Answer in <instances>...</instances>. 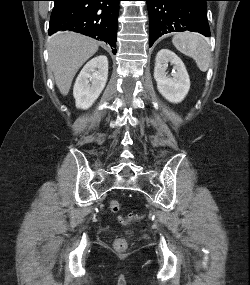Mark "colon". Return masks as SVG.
<instances>
[{"label":"colon","mask_w":250,"mask_h":285,"mask_svg":"<svg viewBox=\"0 0 250 285\" xmlns=\"http://www.w3.org/2000/svg\"><path fill=\"white\" fill-rule=\"evenodd\" d=\"M110 211L113 213H117L120 209V203L117 200H112L109 204ZM136 216L134 215H129L127 217H119V220L122 224H128L131 221L135 220ZM128 247V242L125 238H117L114 241V248L119 251L123 252L127 249Z\"/></svg>","instance_id":"colon-1"}]
</instances>
